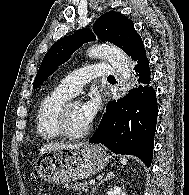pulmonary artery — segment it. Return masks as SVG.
<instances>
[{
  "label": "pulmonary artery",
  "instance_id": "pulmonary-artery-1",
  "mask_svg": "<svg viewBox=\"0 0 189 195\" xmlns=\"http://www.w3.org/2000/svg\"><path fill=\"white\" fill-rule=\"evenodd\" d=\"M111 72V65L97 63L73 71L61 80L60 86L72 96L93 78L104 77Z\"/></svg>",
  "mask_w": 189,
  "mask_h": 195
}]
</instances>
